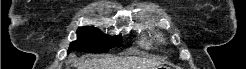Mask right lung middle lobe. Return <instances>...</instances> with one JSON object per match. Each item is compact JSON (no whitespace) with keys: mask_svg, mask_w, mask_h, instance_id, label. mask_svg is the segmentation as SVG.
<instances>
[{"mask_svg":"<svg viewBox=\"0 0 246 69\" xmlns=\"http://www.w3.org/2000/svg\"><path fill=\"white\" fill-rule=\"evenodd\" d=\"M121 43V36L104 35L94 27H80L77 30V40L70 44L68 53L71 51L106 53L109 49L120 46Z\"/></svg>","mask_w":246,"mask_h":69,"instance_id":"dd1d6c3e","label":"right lung middle lobe"}]
</instances>
